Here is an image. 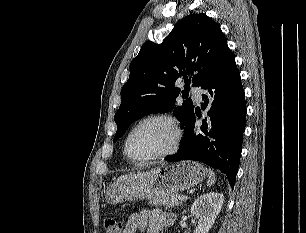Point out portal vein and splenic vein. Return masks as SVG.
Returning <instances> with one entry per match:
<instances>
[{"mask_svg":"<svg viewBox=\"0 0 306 233\" xmlns=\"http://www.w3.org/2000/svg\"><path fill=\"white\" fill-rule=\"evenodd\" d=\"M188 196H182L180 199L182 200V201H186V200H188Z\"/></svg>","mask_w":306,"mask_h":233,"instance_id":"18ae733b","label":"portal vein and splenic vein"}]
</instances>
